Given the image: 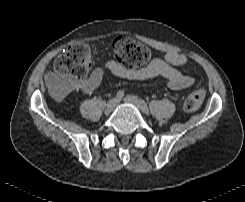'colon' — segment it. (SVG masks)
<instances>
[{
    "instance_id": "colon-1",
    "label": "colon",
    "mask_w": 245,
    "mask_h": 202,
    "mask_svg": "<svg viewBox=\"0 0 245 202\" xmlns=\"http://www.w3.org/2000/svg\"><path fill=\"white\" fill-rule=\"evenodd\" d=\"M113 51L117 61L128 68L143 66L151 57L150 48L131 35L117 37L113 42ZM54 67L56 75L52 81L56 86L67 87L68 80L85 78L93 67L88 45L85 43L70 45L56 58ZM205 95L204 88L193 91L185 99L183 109L186 112L196 111Z\"/></svg>"
}]
</instances>
